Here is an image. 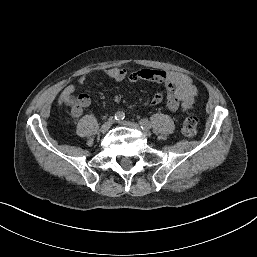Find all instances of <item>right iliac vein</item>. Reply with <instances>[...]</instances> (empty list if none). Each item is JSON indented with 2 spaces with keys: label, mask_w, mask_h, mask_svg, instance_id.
I'll use <instances>...</instances> for the list:
<instances>
[{
  "label": "right iliac vein",
  "mask_w": 257,
  "mask_h": 257,
  "mask_svg": "<svg viewBox=\"0 0 257 257\" xmlns=\"http://www.w3.org/2000/svg\"><path fill=\"white\" fill-rule=\"evenodd\" d=\"M113 122H114L113 119H109L108 121H106V122L101 126L100 131H101L102 133L107 132V131L110 129V127L112 126Z\"/></svg>",
  "instance_id": "63e3f726"
}]
</instances>
